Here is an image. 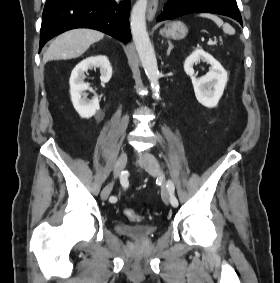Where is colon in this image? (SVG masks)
Masks as SVG:
<instances>
[{
  "label": "colon",
  "instance_id": "5ec220e1",
  "mask_svg": "<svg viewBox=\"0 0 280 283\" xmlns=\"http://www.w3.org/2000/svg\"><path fill=\"white\" fill-rule=\"evenodd\" d=\"M124 214H125V216H126L128 219H130V220H134V221L139 220V216H138L137 213H136L134 210H132V209H129V208L125 209V210H124Z\"/></svg>",
  "mask_w": 280,
  "mask_h": 283
}]
</instances>
